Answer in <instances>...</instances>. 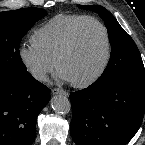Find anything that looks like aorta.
<instances>
[{
    "instance_id": "1",
    "label": "aorta",
    "mask_w": 145,
    "mask_h": 145,
    "mask_svg": "<svg viewBox=\"0 0 145 145\" xmlns=\"http://www.w3.org/2000/svg\"><path fill=\"white\" fill-rule=\"evenodd\" d=\"M51 106L52 109L58 114H67L71 110V103L63 94L55 95L51 99Z\"/></svg>"
}]
</instances>
